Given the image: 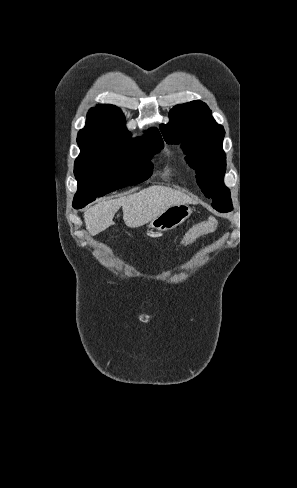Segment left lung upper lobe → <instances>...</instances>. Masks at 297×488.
I'll list each match as a JSON object with an SVG mask.
<instances>
[{
    "mask_svg": "<svg viewBox=\"0 0 297 488\" xmlns=\"http://www.w3.org/2000/svg\"><path fill=\"white\" fill-rule=\"evenodd\" d=\"M168 124L160 126L167 143H181L186 160L196 170L197 183L219 212L233 209L230 191L223 183L226 156L222 150L224 128L218 125L207 105L195 100L176 105Z\"/></svg>",
    "mask_w": 297,
    "mask_h": 488,
    "instance_id": "left-lung-upper-lobe-1",
    "label": "left lung upper lobe"
}]
</instances>
